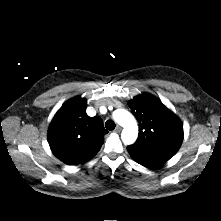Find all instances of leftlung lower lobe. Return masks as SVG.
Segmentation results:
<instances>
[{"instance_id":"obj_1","label":"left lung lower lobe","mask_w":221,"mask_h":221,"mask_svg":"<svg viewBox=\"0 0 221 221\" xmlns=\"http://www.w3.org/2000/svg\"><path fill=\"white\" fill-rule=\"evenodd\" d=\"M139 164L146 166L148 168H156L162 164H164L165 162L162 160H151V161H147V162H138Z\"/></svg>"}]
</instances>
